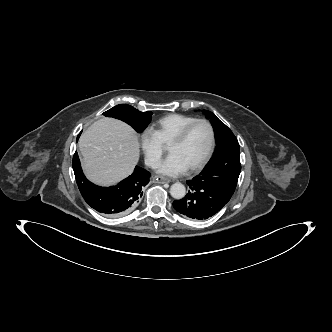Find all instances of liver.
I'll return each mask as SVG.
<instances>
[{
	"instance_id": "1",
	"label": "liver",
	"mask_w": 332,
	"mask_h": 332,
	"mask_svg": "<svg viewBox=\"0 0 332 332\" xmlns=\"http://www.w3.org/2000/svg\"><path fill=\"white\" fill-rule=\"evenodd\" d=\"M78 147L86 177L102 186L115 184L130 175L140 152L134 130L109 117L95 121L84 131Z\"/></svg>"
}]
</instances>
